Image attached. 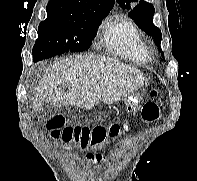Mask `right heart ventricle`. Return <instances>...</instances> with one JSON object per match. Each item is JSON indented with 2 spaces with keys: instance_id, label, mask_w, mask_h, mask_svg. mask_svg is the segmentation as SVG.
I'll use <instances>...</instances> for the list:
<instances>
[{
  "instance_id": "right-heart-ventricle-1",
  "label": "right heart ventricle",
  "mask_w": 197,
  "mask_h": 181,
  "mask_svg": "<svg viewBox=\"0 0 197 181\" xmlns=\"http://www.w3.org/2000/svg\"><path fill=\"white\" fill-rule=\"evenodd\" d=\"M102 43L105 50L115 56L134 63H145L150 54L135 23L124 16H118L103 26Z\"/></svg>"
}]
</instances>
